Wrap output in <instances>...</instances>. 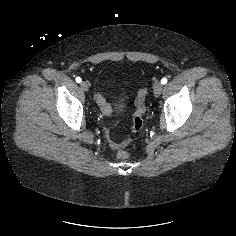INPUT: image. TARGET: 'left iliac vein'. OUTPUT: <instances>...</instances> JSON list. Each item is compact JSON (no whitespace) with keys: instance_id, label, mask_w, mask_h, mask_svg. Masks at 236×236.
Wrapping results in <instances>:
<instances>
[{"instance_id":"4c4485c4","label":"left iliac vein","mask_w":236,"mask_h":236,"mask_svg":"<svg viewBox=\"0 0 236 236\" xmlns=\"http://www.w3.org/2000/svg\"><path fill=\"white\" fill-rule=\"evenodd\" d=\"M153 89H154V95H155V96H159V95L162 93V91H163V85H162V83H160V82H155V83H154V86H153Z\"/></svg>"}]
</instances>
